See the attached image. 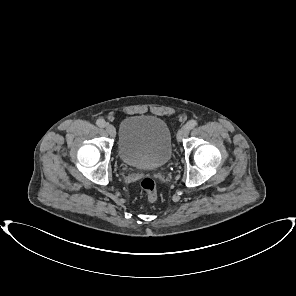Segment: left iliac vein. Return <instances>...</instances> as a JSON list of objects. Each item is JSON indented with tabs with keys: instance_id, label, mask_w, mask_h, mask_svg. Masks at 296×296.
I'll list each match as a JSON object with an SVG mask.
<instances>
[{
	"instance_id": "obj_1",
	"label": "left iliac vein",
	"mask_w": 296,
	"mask_h": 296,
	"mask_svg": "<svg viewBox=\"0 0 296 296\" xmlns=\"http://www.w3.org/2000/svg\"><path fill=\"white\" fill-rule=\"evenodd\" d=\"M189 131L190 129L187 127V125L183 126L177 133V140L180 142L189 134Z\"/></svg>"
}]
</instances>
